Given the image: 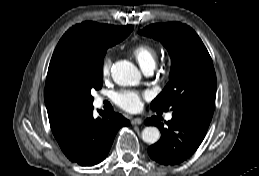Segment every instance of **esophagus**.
I'll list each match as a JSON object with an SVG mask.
<instances>
[{"mask_svg": "<svg viewBox=\"0 0 259 176\" xmlns=\"http://www.w3.org/2000/svg\"><path fill=\"white\" fill-rule=\"evenodd\" d=\"M131 124H132V125H140V124H142V119H141V118H138V117L132 118V119H131Z\"/></svg>", "mask_w": 259, "mask_h": 176, "instance_id": "obj_1", "label": "esophagus"}]
</instances>
